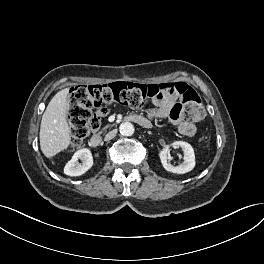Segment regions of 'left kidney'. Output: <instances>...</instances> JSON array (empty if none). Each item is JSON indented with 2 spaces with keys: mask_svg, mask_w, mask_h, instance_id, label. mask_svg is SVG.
<instances>
[{
  "mask_svg": "<svg viewBox=\"0 0 264 264\" xmlns=\"http://www.w3.org/2000/svg\"><path fill=\"white\" fill-rule=\"evenodd\" d=\"M173 146H179L184 151V162L179 166H173L168 162V148L166 146L163 150L160 151L159 157L163 167L172 173L184 174L191 171L195 166V153L192 146L184 141H176L173 143Z\"/></svg>",
  "mask_w": 264,
  "mask_h": 264,
  "instance_id": "obj_1",
  "label": "left kidney"
}]
</instances>
